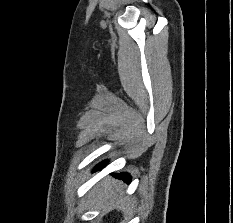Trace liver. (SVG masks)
I'll use <instances>...</instances> for the list:
<instances>
[{"mask_svg": "<svg viewBox=\"0 0 233 223\" xmlns=\"http://www.w3.org/2000/svg\"><path fill=\"white\" fill-rule=\"evenodd\" d=\"M95 197H97L99 205L107 203V205H114L118 209L124 205H129L128 195H122L118 179H110V177H104L100 181Z\"/></svg>", "mask_w": 233, "mask_h": 223, "instance_id": "obj_1", "label": "liver"}]
</instances>
